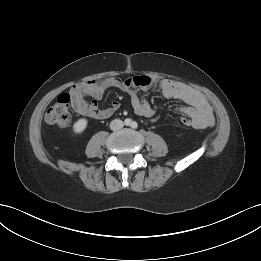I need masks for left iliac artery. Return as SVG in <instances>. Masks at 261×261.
Returning a JSON list of instances; mask_svg holds the SVG:
<instances>
[{"label": "left iliac artery", "mask_w": 261, "mask_h": 261, "mask_svg": "<svg viewBox=\"0 0 261 261\" xmlns=\"http://www.w3.org/2000/svg\"><path fill=\"white\" fill-rule=\"evenodd\" d=\"M131 127H132V128H137V127H138L137 122L133 121V122L131 123Z\"/></svg>", "instance_id": "obj_1"}]
</instances>
